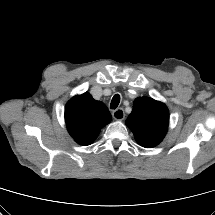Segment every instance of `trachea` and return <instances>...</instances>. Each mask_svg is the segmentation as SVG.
<instances>
[{
	"mask_svg": "<svg viewBox=\"0 0 215 215\" xmlns=\"http://www.w3.org/2000/svg\"><path fill=\"white\" fill-rule=\"evenodd\" d=\"M119 103H120V95L116 94L112 98V101H111V104H110V108L111 109H116L117 106L119 105Z\"/></svg>",
	"mask_w": 215,
	"mask_h": 215,
	"instance_id": "obj_1",
	"label": "trachea"
}]
</instances>
